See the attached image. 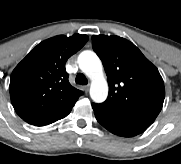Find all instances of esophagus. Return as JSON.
I'll return each mask as SVG.
<instances>
[{"instance_id": "34e87169", "label": "esophagus", "mask_w": 181, "mask_h": 164, "mask_svg": "<svg viewBox=\"0 0 181 164\" xmlns=\"http://www.w3.org/2000/svg\"><path fill=\"white\" fill-rule=\"evenodd\" d=\"M83 89H84V92H85V93H87V92H88V90H89V85H85V86H83Z\"/></svg>"}]
</instances>
